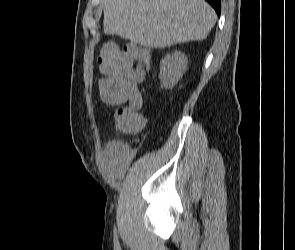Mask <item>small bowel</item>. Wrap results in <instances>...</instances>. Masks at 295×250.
<instances>
[{
  "label": "small bowel",
  "mask_w": 295,
  "mask_h": 250,
  "mask_svg": "<svg viewBox=\"0 0 295 250\" xmlns=\"http://www.w3.org/2000/svg\"><path fill=\"white\" fill-rule=\"evenodd\" d=\"M150 64V53L140 50L128 53L116 66L98 81L101 99L112 106L133 104L142 105V93L139 89L143 83ZM123 148L119 142H112L106 148V157L110 160V170L114 175L122 171Z\"/></svg>",
  "instance_id": "small-bowel-1"
}]
</instances>
